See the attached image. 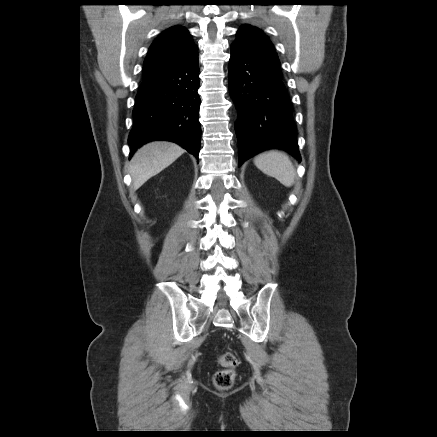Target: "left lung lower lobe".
Returning a JSON list of instances; mask_svg holds the SVG:
<instances>
[{"label":"left lung lower lobe","instance_id":"1","mask_svg":"<svg viewBox=\"0 0 437 437\" xmlns=\"http://www.w3.org/2000/svg\"><path fill=\"white\" fill-rule=\"evenodd\" d=\"M228 81L238 112L239 166L259 152L274 148L300 161L293 108L282 76L232 44Z\"/></svg>","mask_w":437,"mask_h":437}]
</instances>
